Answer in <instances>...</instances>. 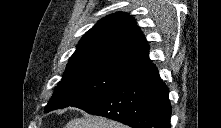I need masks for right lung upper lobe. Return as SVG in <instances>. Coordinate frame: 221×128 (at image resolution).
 Returning a JSON list of instances; mask_svg holds the SVG:
<instances>
[{"label":"right lung upper lobe","mask_w":221,"mask_h":128,"mask_svg":"<svg viewBox=\"0 0 221 128\" xmlns=\"http://www.w3.org/2000/svg\"><path fill=\"white\" fill-rule=\"evenodd\" d=\"M148 51L134 18L117 12L98 21L82 37L66 68H93L126 77L151 63Z\"/></svg>","instance_id":"obj_1"}]
</instances>
